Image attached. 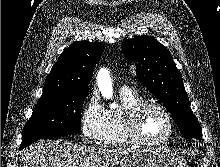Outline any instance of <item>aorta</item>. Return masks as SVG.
Segmentation results:
<instances>
[{"label": "aorta", "instance_id": "obj_1", "mask_svg": "<svg viewBox=\"0 0 220 167\" xmlns=\"http://www.w3.org/2000/svg\"><path fill=\"white\" fill-rule=\"evenodd\" d=\"M97 79H98V87L102 95L107 99L111 98L113 94V88H112V82H111V78L109 76L108 71L104 69L101 70L98 73Z\"/></svg>", "mask_w": 220, "mask_h": 167}]
</instances>
